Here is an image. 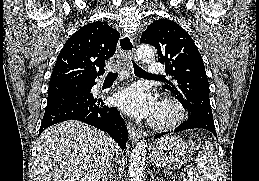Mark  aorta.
I'll use <instances>...</instances> for the list:
<instances>
[{
	"label": "aorta",
	"instance_id": "aorta-1",
	"mask_svg": "<svg viewBox=\"0 0 259 181\" xmlns=\"http://www.w3.org/2000/svg\"><path fill=\"white\" fill-rule=\"evenodd\" d=\"M137 55L144 62L152 61L155 57L154 51L149 45H140L137 49ZM146 153L147 144L145 140H142L136 144L130 156L128 167L129 181L143 180Z\"/></svg>",
	"mask_w": 259,
	"mask_h": 181
}]
</instances>
